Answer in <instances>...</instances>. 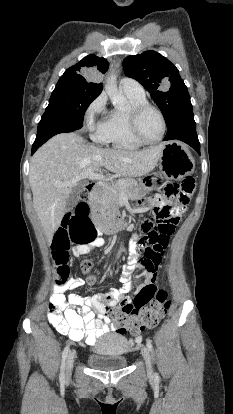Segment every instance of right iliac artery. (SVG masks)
Wrapping results in <instances>:
<instances>
[{
    "mask_svg": "<svg viewBox=\"0 0 233 414\" xmlns=\"http://www.w3.org/2000/svg\"><path fill=\"white\" fill-rule=\"evenodd\" d=\"M68 352H69V346H66L62 353V362H61V369H60V375H59V380L61 383L65 382V361H66Z\"/></svg>",
    "mask_w": 233,
    "mask_h": 414,
    "instance_id": "right-iliac-artery-1",
    "label": "right iliac artery"
}]
</instances>
